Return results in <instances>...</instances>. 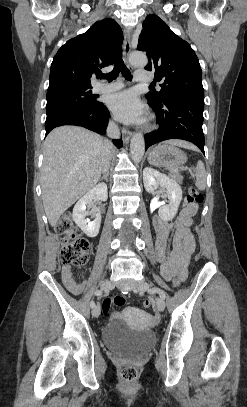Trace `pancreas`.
I'll return each instance as SVG.
<instances>
[{
    "label": "pancreas",
    "mask_w": 247,
    "mask_h": 407,
    "mask_svg": "<svg viewBox=\"0 0 247 407\" xmlns=\"http://www.w3.org/2000/svg\"><path fill=\"white\" fill-rule=\"evenodd\" d=\"M169 175L171 178H173L177 182L182 183L183 176L178 171H171Z\"/></svg>",
    "instance_id": "obj_1"
}]
</instances>
